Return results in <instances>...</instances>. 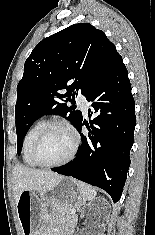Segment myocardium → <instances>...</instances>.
Here are the masks:
<instances>
[{
	"instance_id": "myocardium-1",
	"label": "myocardium",
	"mask_w": 155,
	"mask_h": 235,
	"mask_svg": "<svg viewBox=\"0 0 155 235\" xmlns=\"http://www.w3.org/2000/svg\"><path fill=\"white\" fill-rule=\"evenodd\" d=\"M56 128L65 130L71 136L72 138L71 151L68 154V156L61 161H58L55 163L42 162L38 157V148L41 142L43 141V139L45 138V136L51 130L56 129ZM79 143H80L79 135L77 134V132L72 126H70L69 124L63 121H52V122L47 123L45 127L39 132L37 137L35 138L32 148H31V158L38 166H41V167H47V168L60 167V166L68 164L74 159L79 148Z\"/></svg>"
}]
</instances>
